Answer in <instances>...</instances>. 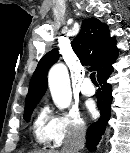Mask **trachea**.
<instances>
[{"label":"trachea","instance_id":"1","mask_svg":"<svg viewBox=\"0 0 130 153\" xmlns=\"http://www.w3.org/2000/svg\"><path fill=\"white\" fill-rule=\"evenodd\" d=\"M90 79H91V81H92V83H93L94 85H98V82H97V80H96L95 72H92V73L90 74Z\"/></svg>","mask_w":130,"mask_h":153}]
</instances>
